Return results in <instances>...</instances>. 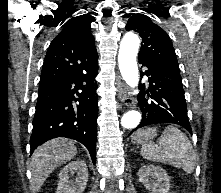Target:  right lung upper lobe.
I'll return each instance as SVG.
<instances>
[{"mask_svg":"<svg viewBox=\"0 0 221 193\" xmlns=\"http://www.w3.org/2000/svg\"><path fill=\"white\" fill-rule=\"evenodd\" d=\"M64 21L62 31L49 46L39 86L84 73L98 62L90 22L85 15Z\"/></svg>","mask_w":221,"mask_h":193,"instance_id":"right-lung-upper-lobe-1","label":"right lung upper lobe"}]
</instances>
